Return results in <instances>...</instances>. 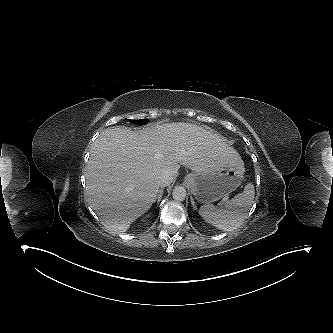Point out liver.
I'll return each instance as SVG.
<instances>
[{"label": "liver", "mask_w": 333, "mask_h": 333, "mask_svg": "<svg viewBox=\"0 0 333 333\" xmlns=\"http://www.w3.org/2000/svg\"><path fill=\"white\" fill-rule=\"evenodd\" d=\"M238 159L222 136L190 123H167L139 132L109 127L90 153L87 201L105 227L126 232L156 201L157 179L163 172L174 180L180 165L202 172Z\"/></svg>", "instance_id": "liver-1"}]
</instances>
